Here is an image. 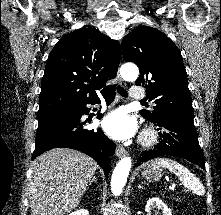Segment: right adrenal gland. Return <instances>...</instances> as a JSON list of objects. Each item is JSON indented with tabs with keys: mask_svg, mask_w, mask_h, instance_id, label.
<instances>
[{
	"mask_svg": "<svg viewBox=\"0 0 221 215\" xmlns=\"http://www.w3.org/2000/svg\"><path fill=\"white\" fill-rule=\"evenodd\" d=\"M96 180H97V178H96V176H94V177L92 178V180L89 182V185H91L93 182H96Z\"/></svg>",
	"mask_w": 221,
	"mask_h": 215,
	"instance_id": "2a0ac1e0",
	"label": "right adrenal gland"
}]
</instances>
